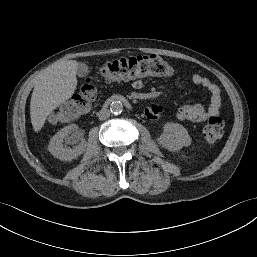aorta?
Returning <instances> with one entry per match:
<instances>
[{
    "label": "aorta",
    "mask_w": 257,
    "mask_h": 257,
    "mask_svg": "<svg viewBox=\"0 0 257 257\" xmlns=\"http://www.w3.org/2000/svg\"><path fill=\"white\" fill-rule=\"evenodd\" d=\"M110 111L115 115L120 114L123 111V104L120 101L112 102L110 105Z\"/></svg>",
    "instance_id": "762f6f07"
}]
</instances>
